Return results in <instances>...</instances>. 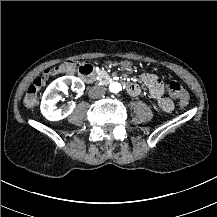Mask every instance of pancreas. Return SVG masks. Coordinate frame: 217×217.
Returning <instances> with one entry per match:
<instances>
[{
    "label": "pancreas",
    "instance_id": "cf45deb5",
    "mask_svg": "<svg viewBox=\"0 0 217 217\" xmlns=\"http://www.w3.org/2000/svg\"><path fill=\"white\" fill-rule=\"evenodd\" d=\"M106 76H107V73H104L102 77L105 78Z\"/></svg>",
    "mask_w": 217,
    "mask_h": 217
}]
</instances>
